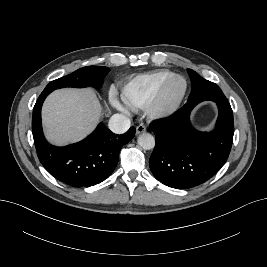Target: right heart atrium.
<instances>
[{
  "label": "right heart atrium",
  "instance_id": "obj_1",
  "mask_svg": "<svg viewBox=\"0 0 267 267\" xmlns=\"http://www.w3.org/2000/svg\"><path fill=\"white\" fill-rule=\"evenodd\" d=\"M110 102L112 106L115 107L116 109L121 110V111L125 110L123 105L117 100L114 94L110 95Z\"/></svg>",
  "mask_w": 267,
  "mask_h": 267
}]
</instances>
